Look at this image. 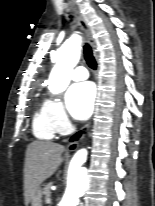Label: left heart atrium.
Returning a JSON list of instances; mask_svg holds the SVG:
<instances>
[{
	"mask_svg": "<svg viewBox=\"0 0 155 206\" xmlns=\"http://www.w3.org/2000/svg\"><path fill=\"white\" fill-rule=\"evenodd\" d=\"M95 94V87L90 82L73 84L66 94V103L71 115L78 120L87 119L94 107Z\"/></svg>",
	"mask_w": 155,
	"mask_h": 206,
	"instance_id": "left-heart-atrium-1",
	"label": "left heart atrium"
}]
</instances>
